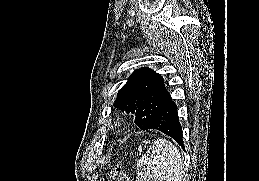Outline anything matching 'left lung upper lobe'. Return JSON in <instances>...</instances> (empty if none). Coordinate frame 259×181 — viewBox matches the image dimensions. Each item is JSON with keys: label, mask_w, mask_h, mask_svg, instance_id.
Masks as SVG:
<instances>
[{"label": "left lung upper lobe", "mask_w": 259, "mask_h": 181, "mask_svg": "<svg viewBox=\"0 0 259 181\" xmlns=\"http://www.w3.org/2000/svg\"><path fill=\"white\" fill-rule=\"evenodd\" d=\"M163 78L149 68L135 70L119 90L115 106L135 113V123L144 130L169 98Z\"/></svg>", "instance_id": "5c2ea615"}]
</instances>
